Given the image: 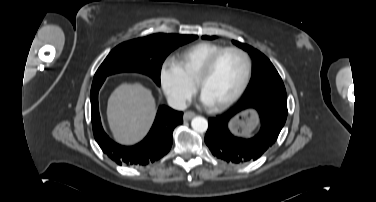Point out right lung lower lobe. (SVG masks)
Segmentation results:
<instances>
[{
	"mask_svg": "<svg viewBox=\"0 0 376 202\" xmlns=\"http://www.w3.org/2000/svg\"><path fill=\"white\" fill-rule=\"evenodd\" d=\"M104 80L92 83L90 93L93 133L102 151L118 165L124 166H144L167 154L172 146V132L183 122V113L161 106L150 132L143 141L131 147L119 145L106 135L101 125L98 92Z\"/></svg>",
	"mask_w": 376,
	"mask_h": 202,
	"instance_id": "obj_1",
	"label": "right lung lower lobe"
}]
</instances>
